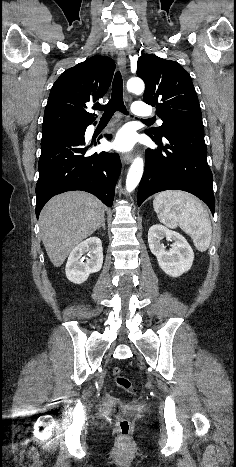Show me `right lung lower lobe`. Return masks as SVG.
Returning <instances> with one entry per match:
<instances>
[{"label":"right lung lower lobe","mask_w":236,"mask_h":467,"mask_svg":"<svg viewBox=\"0 0 236 467\" xmlns=\"http://www.w3.org/2000/svg\"><path fill=\"white\" fill-rule=\"evenodd\" d=\"M84 133L41 141L39 179L36 184V216L54 195L82 190L92 193L108 207L112 206L115 185L121 171L120 157L101 152L86 155ZM111 138V135H105ZM99 142H94L96 146Z\"/></svg>","instance_id":"98d812e1"}]
</instances>
